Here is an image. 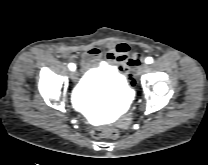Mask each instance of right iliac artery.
Segmentation results:
<instances>
[{
    "label": "right iliac artery",
    "instance_id": "1",
    "mask_svg": "<svg viewBox=\"0 0 208 165\" xmlns=\"http://www.w3.org/2000/svg\"><path fill=\"white\" fill-rule=\"evenodd\" d=\"M68 67H69V69L72 70V71H74V70L76 69V66H75V64H73V63H70V64L68 65Z\"/></svg>",
    "mask_w": 208,
    "mask_h": 165
}]
</instances>
